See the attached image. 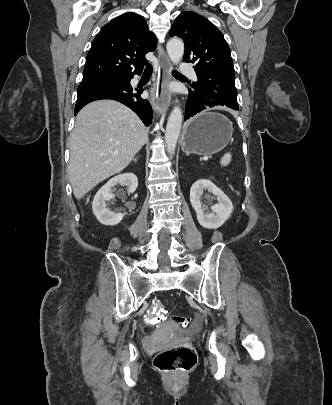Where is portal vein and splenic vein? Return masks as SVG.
Returning <instances> with one entry per match:
<instances>
[{"mask_svg": "<svg viewBox=\"0 0 332 405\" xmlns=\"http://www.w3.org/2000/svg\"><path fill=\"white\" fill-rule=\"evenodd\" d=\"M203 160H204V161H207V160H208V157H203Z\"/></svg>", "mask_w": 332, "mask_h": 405, "instance_id": "portal-vein-and-splenic-vein-1", "label": "portal vein and splenic vein"}]
</instances>
